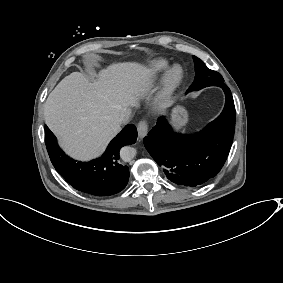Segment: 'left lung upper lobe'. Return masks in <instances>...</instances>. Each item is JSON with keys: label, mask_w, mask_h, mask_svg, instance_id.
I'll use <instances>...</instances> for the list:
<instances>
[{"label": "left lung upper lobe", "mask_w": 283, "mask_h": 283, "mask_svg": "<svg viewBox=\"0 0 283 283\" xmlns=\"http://www.w3.org/2000/svg\"><path fill=\"white\" fill-rule=\"evenodd\" d=\"M195 63V79L187 92L193 90H199L207 86H222L224 85V79L222 76L209 68L196 56H193Z\"/></svg>", "instance_id": "1"}]
</instances>
